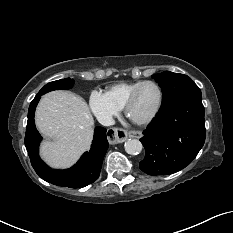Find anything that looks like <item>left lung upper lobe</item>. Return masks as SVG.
I'll return each mask as SVG.
<instances>
[{
  "label": "left lung upper lobe",
  "mask_w": 233,
  "mask_h": 233,
  "mask_svg": "<svg viewBox=\"0 0 233 233\" xmlns=\"http://www.w3.org/2000/svg\"><path fill=\"white\" fill-rule=\"evenodd\" d=\"M153 78L162 89L161 107L188 95H201L199 87L190 77L184 74L165 71L153 75Z\"/></svg>",
  "instance_id": "left-lung-upper-lobe-1"
}]
</instances>
